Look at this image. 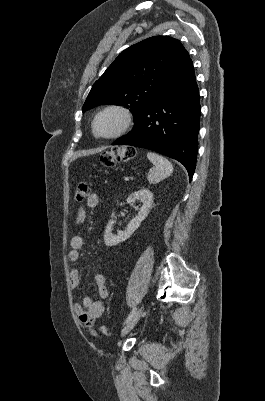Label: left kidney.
<instances>
[{"label":"left kidney","mask_w":265,"mask_h":401,"mask_svg":"<svg viewBox=\"0 0 265 401\" xmlns=\"http://www.w3.org/2000/svg\"><path fill=\"white\" fill-rule=\"evenodd\" d=\"M135 201H140V203H142V207H140L137 217H135V219H131L125 231H121V233H118V235H112L114 221L113 219L108 221L104 235V243L106 247H114V245H118V243L126 241V239H129L130 235H133L134 231L138 229L141 221L146 219L149 209H151L153 205V192H150L148 188L136 190V192L129 194L126 203H129L130 205V203H135ZM121 205H124V203H121ZM111 217H115L114 213H112Z\"/></svg>","instance_id":"1"}]
</instances>
